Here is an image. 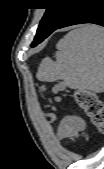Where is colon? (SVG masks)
Segmentation results:
<instances>
[{
  "label": "colon",
  "mask_w": 104,
  "mask_h": 169,
  "mask_svg": "<svg viewBox=\"0 0 104 169\" xmlns=\"http://www.w3.org/2000/svg\"><path fill=\"white\" fill-rule=\"evenodd\" d=\"M64 90L63 84H58L55 89V100L60 101V93ZM75 100L84 114L90 120V123L100 132L104 131V108L98 96L89 90L79 89L75 91Z\"/></svg>",
  "instance_id": "5ec220e1"
}]
</instances>
